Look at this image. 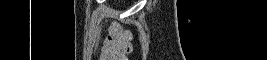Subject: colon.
I'll return each instance as SVG.
<instances>
[{"label":"colon","instance_id":"obj_1","mask_svg":"<svg viewBox=\"0 0 267 60\" xmlns=\"http://www.w3.org/2000/svg\"><path fill=\"white\" fill-rule=\"evenodd\" d=\"M131 32L121 26L110 31L101 49L103 60H127L131 52Z\"/></svg>","mask_w":267,"mask_h":60}]
</instances>
